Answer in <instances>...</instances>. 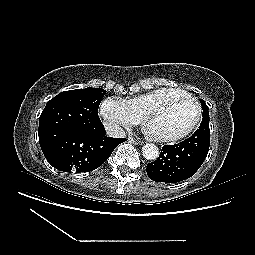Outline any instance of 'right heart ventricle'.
Segmentation results:
<instances>
[{
    "label": "right heart ventricle",
    "mask_w": 255,
    "mask_h": 255,
    "mask_svg": "<svg viewBox=\"0 0 255 255\" xmlns=\"http://www.w3.org/2000/svg\"><path fill=\"white\" fill-rule=\"evenodd\" d=\"M176 91H181V89L172 87H160L136 95L125 101L130 106L132 111L141 119L149 107H151L164 96Z\"/></svg>",
    "instance_id": "obj_1"
}]
</instances>
